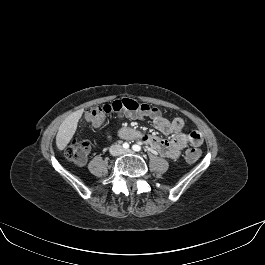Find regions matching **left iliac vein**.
Segmentation results:
<instances>
[{"label":"left iliac vein","instance_id":"4c4485c4","mask_svg":"<svg viewBox=\"0 0 265 265\" xmlns=\"http://www.w3.org/2000/svg\"><path fill=\"white\" fill-rule=\"evenodd\" d=\"M126 153H133L132 150L128 149V150H125Z\"/></svg>","mask_w":265,"mask_h":265}]
</instances>
